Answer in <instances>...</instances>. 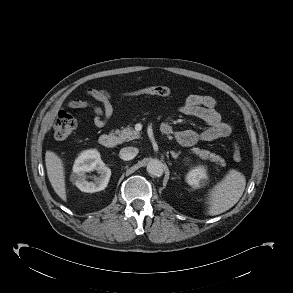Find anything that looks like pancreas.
Returning a JSON list of instances; mask_svg holds the SVG:
<instances>
[{
  "mask_svg": "<svg viewBox=\"0 0 293 293\" xmlns=\"http://www.w3.org/2000/svg\"><path fill=\"white\" fill-rule=\"evenodd\" d=\"M116 134H118L120 142L130 141L140 137V134L131 127L124 128L121 131L117 130ZM191 152L203 160H210L211 162H215L220 166L225 165V160L222 157L216 155L215 153H211L208 150L194 147L191 149Z\"/></svg>",
  "mask_w": 293,
  "mask_h": 293,
  "instance_id": "pancreas-1",
  "label": "pancreas"
}]
</instances>
